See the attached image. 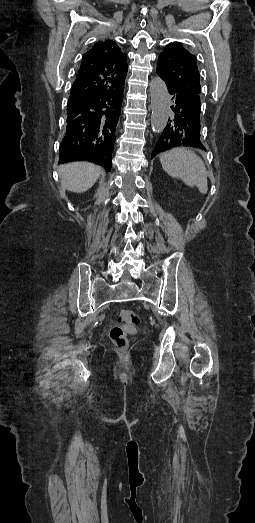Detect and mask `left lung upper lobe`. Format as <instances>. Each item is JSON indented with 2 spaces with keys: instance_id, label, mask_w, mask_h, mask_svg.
I'll list each match as a JSON object with an SVG mask.
<instances>
[{
  "instance_id": "left-lung-upper-lobe-1",
  "label": "left lung upper lobe",
  "mask_w": 255,
  "mask_h": 523,
  "mask_svg": "<svg viewBox=\"0 0 255 523\" xmlns=\"http://www.w3.org/2000/svg\"><path fill=\"white\" fill-rule=\"evenodd\" d=\"M156 72L167 82L166 86L171 85L177 92L183 93V101L196 106V114L200 116L201 87L196 57L179 43H171L159 55ZM170 148L167 147L166 150Z\"/></svg>"
}]
</instances>
